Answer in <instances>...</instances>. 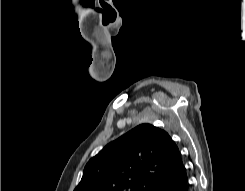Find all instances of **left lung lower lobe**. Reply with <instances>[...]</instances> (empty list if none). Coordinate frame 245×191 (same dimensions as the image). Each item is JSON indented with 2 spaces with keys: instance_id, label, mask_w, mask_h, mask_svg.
<instances>
[{
  "instance_id": "obj_1",
  "label": "left lung lower lobe",
  "mask_w": 245,
  "mask_h": 191,
  "mask_svg": "<svg viewBox=\"0 0 245 191\" xmlns=\"http://www.w3.org/2000/svg\"><path fill=\"white\" fill-rule=\"evenodd\" d=\"M154 191H190L186 168L181 156Z\"/></svg>"
}]
</instances>
